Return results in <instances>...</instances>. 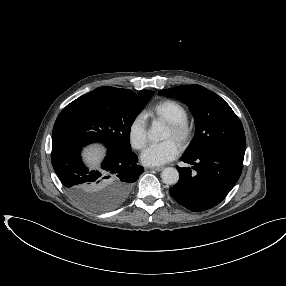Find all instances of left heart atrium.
Returning <instances> with one entry per match:
<instances>
[{"label": "left heart atrium", "instance_id": "39dd6f15", "mask_svg": "<svg viewBox=\"0 0 286 286\" xmlns=\"http://www.w3.org/2000/svg\"><path fill=\"white\" fill-rule=\"evenodd\" d=\"M179 146L173 139H168L161 143L149 145L141 155V160L145 165H163L179 154Z\"/></svg>", "mask_w": 286, "mask_h": 286}]
</instances>
